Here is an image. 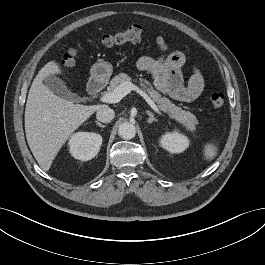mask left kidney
<instances>
[{
  "mask_svg": "<svg viewBox=\"0 0 265 265\" xmlns=\"http://www.w3.org/2000/svg\"><path fill=\"white\" fill-rule=\"evenodd\" d=\"M189 144L188 137L176 130L165 133L160 139V145L170 153H181L189 147Z\"/></svg>",
  "mask_w": 265,
  "mask_h": 265,
  "instance_id": "obj_1",
  "label": "left kidney"
}]
</instances>
